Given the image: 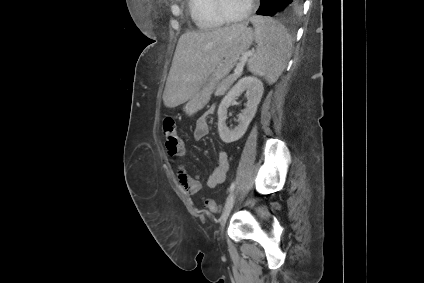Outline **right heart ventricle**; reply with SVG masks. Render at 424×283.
<instances>
[{
	"instance_id": "e07e8e85",
	"label": "right heart ventricle",
	"mask_w": 424,
	"mask_h": 283,
	"mask_svg": "<svg viewBox=\"0 0 424 283\" xmlns=\"http://www.w3.org/2000/svg\"><path fill=\"white\" fill-rule=\"evenodd\" d=\"M188 8L192 21L201 30H214L225 23L215 11L214 0H188Z\"/></svg>"
}]
</instances>
